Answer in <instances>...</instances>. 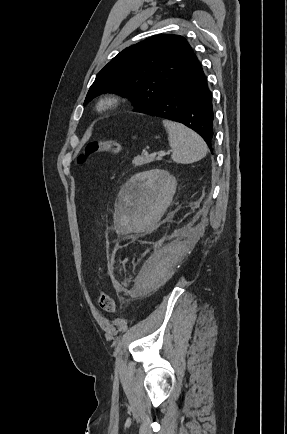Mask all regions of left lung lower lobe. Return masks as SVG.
Returning a JSON list of instances; mask_svg holds the SVG:
<instances>
[{"label": "left lung lower lobe", "mask_w": 287, "mask_h": 434, "mask_svg": "<svg viewBox=\"0 0 287 434\" xmlns=\"http://www.w3.org/2000/svg\"><path fill=\"white\" fill-rule=\"evenodd\" d=\"M140 113L180 122L196 131L212 151V94L200 63L194 65L153 106Z\"/></svg>", "instance_id": "obj_1"}]
</instances>
